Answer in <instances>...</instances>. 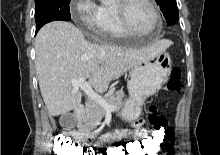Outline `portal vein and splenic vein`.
I'll return each mask as SVG.
<instances>
[{
	"instance_id": "portal-vein-and-splenic-vein-1",
	"label": "portal vein and splenic vein",
	"mask_w": 220,
	"mask_h": 155,
	"mask_svg": "<svg viewBox=\"0 0 220 155\" xmlns=\"http://www.w3.org/2000/svg\"><path fill=\"white\" fill-rule=\"evenodd\" d=\"M86 78L87 77L72 79L71 83L73 86V91H77L79 88H81L92 101L100 104L106 111H113L115 107L108 104L106 99L102 98L97 92H95L86 82Z\"/></svg>"
}]
</instances>
